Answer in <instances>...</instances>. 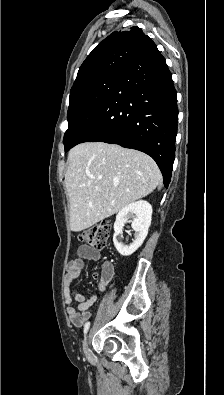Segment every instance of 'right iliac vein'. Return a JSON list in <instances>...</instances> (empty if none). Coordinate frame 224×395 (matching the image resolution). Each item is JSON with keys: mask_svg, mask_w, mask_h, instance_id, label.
Returning <instances> with one entry per match:
<instances>
[{"mask_svg": "<svg viewBox=\"0 0 224 395\" xmlns=\"http://www.w3.org/2000/svg\"><path fill=\"white\" fill-rule=\"evenodd\" d=\"M83 350H84L85 355L87 357H90L91 354H90V349H89V346H88V336H85V338H84Z\"/></svg>", "mask_w": 224, "mask_h": 395, "instance_id": "obj_1", "label": "right iliac vein"}]
</instances>
